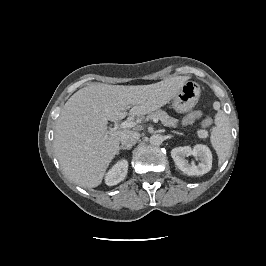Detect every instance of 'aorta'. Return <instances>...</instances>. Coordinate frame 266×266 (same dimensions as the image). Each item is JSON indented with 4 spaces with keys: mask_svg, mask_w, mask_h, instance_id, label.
Wrapping results in <instances>:
<instances>
[{
    "mask_svg": "<svg viewBox=\"0 0 266 266\" xmlns=\"http://www.w3.org/2000/svg\"><path fill=\"white\" fill-rule=\"evenodd\" d=\"M149 141L151 145L158 146L163 142V138L160 134H153Z\"/></svg>",
    "mask_w": 266,
    "mask_h": 266,
    "instance_id": "762f6f07",
    "label": "aorta"
}]
</instances>
